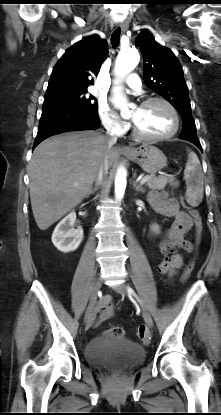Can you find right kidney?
<instances>
[{
    "instance_id": "right-kidney-1",
    "label": "right kidney",
    "mask_w": 221,
    "mask_h": 415,
    "mask_svg": "<svg viewBox=\"0 0 221 415\" xmlns=\"http://www.w3.org/2000/svg\"><path fill=\"white\" fill-rule=\"evenodd\" d=\"M76 220L75 212L69 213L56 226L52 234L54 246L61 252H71L78 248L83 239V229L71 228Z\"/></svg>"
}]
</instances>
